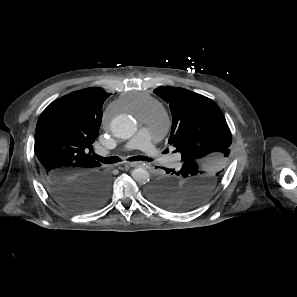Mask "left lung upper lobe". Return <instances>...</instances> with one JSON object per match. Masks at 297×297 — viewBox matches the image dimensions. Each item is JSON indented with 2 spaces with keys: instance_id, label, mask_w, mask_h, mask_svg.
I'll use <instances>...</instances> for the list:
<instances>
[{
  "instance_id": "1",
  "label": "left lung upper lobe",
  "mask_w": 297,
  "mask_h": 297,
  "mask_svg": "<svg viewBox=\"0 0 297 297\" xmlns=\"http://www.w3.org/2000/svg\"><path fill=\"white\" fill-rule=\"evenodd\" d=\"M170 106L169 144L182 155L178 173L162 177L147 190L148 197L170 210L187 211L201 204L217 187L229 160L231 132L211 99L177 87L154 90Z\"/></svg>"
}]
</instances>
